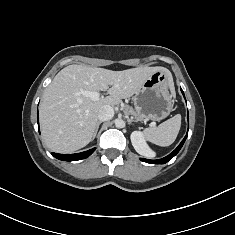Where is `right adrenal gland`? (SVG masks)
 <instances>
[{"label": "right adrenal gland", "mask_w": 235, "mask_h": 235, "mask_svg": "<svg viewBox=\"0 0 235 235\" xmlns=\"http://www.w3.org/2000/svg\"><path fill=\"white\" fill-rule=\"evenodd\" d=\"M101 123H102L101 121H99V122L97 123V126H96L95 132H94V134H93L92 140H94V138L96 137V134H97V132H98V129H99V126H100Z\"/></svg>", "instance_id": "2a0ac1e0"}]
</instances>
